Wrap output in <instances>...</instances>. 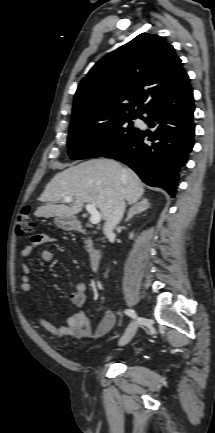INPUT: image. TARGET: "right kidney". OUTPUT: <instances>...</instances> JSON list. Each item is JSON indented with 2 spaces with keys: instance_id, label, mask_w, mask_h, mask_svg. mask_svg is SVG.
<instances>
[{
  "instance_id": "1",
  "label": "right kidney",
  "mask_w": 215,
  "mask_h": 433,
  "mask_svg": "<svg viewBox=\"0 0 215 433\" xmlns=\"http://www.w3.org/2000/svg\"><path fill=\"white\" fill-rule=\"evenodd\" d=\"M133 237V234H130V238H132Z\"/></svg>"
}]
</instances>
